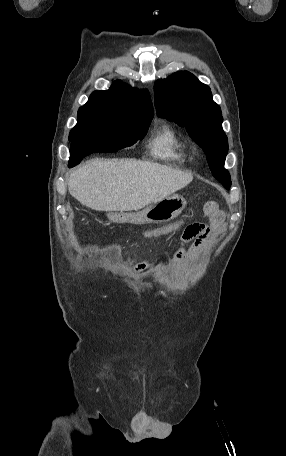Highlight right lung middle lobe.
Listing matches in <instances>:
<instances>
[{"label": "right lung middle lobe", "instance_id": "dd1d6c3e", "mask_svg": "<svg viewBox=\"0 0 286 456\" xmlns=\"http://www.w3.org/2000/svg\"><path fill=\"white\" fill-rule=\"evenodd\" d=\"M152 118L129 117L122 114L80 108L78 122L71 130L69 167H73L90 153L116 152L142 140Z\"/></svg>", "mask_w": 286, "mask_h": 456}]
</instances>
